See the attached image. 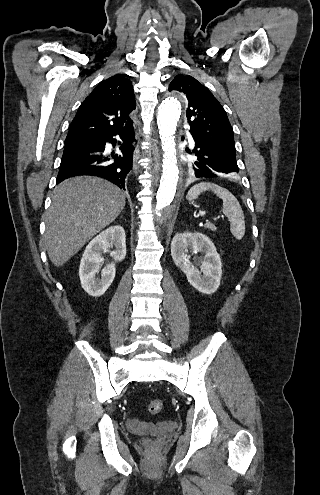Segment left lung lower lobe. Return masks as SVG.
I'll return each mask as SVG.
<instances>
[{"instance_id": "left-lung-lower-lobe-1", "label": "left lung lower lobe", "mask_w": 320, "mask_h": 495, "mask_svg": "<svg viewBox=\"0 0 320 495\" xmlns=\"http://www.w3.org/2000/svg\"><path fill=\"white\" fill-rule=\"evenodd\" d=\"M195 146L194 154L196 160L191 167V173L197 178L201 177H218L222 175L236 176L239 168L236 162V156L222 152L202 142L195 135L191 134Z\"/></svg>"}]
</instances>
